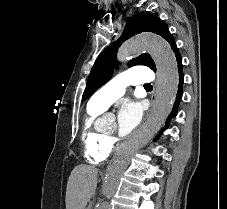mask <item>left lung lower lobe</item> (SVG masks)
I'll list each match as a JSON object with an SVG mask.
<instances>
[{"label":"left lung lower lobe","mask_w":227,"mask_h":209,"mask_svg":"<svg viewBox=\"0 0 227 209\" xmlns=\"http://www.w3.org/2000/svg\"><path fill=\"white\" fill-rule=\"evenodd\" d=\"M172 50L176 55V60H177V64H178V72H179V77H180L179 78V84H178L177 97H176V101L174 103V107L172 108V112L170 113L169 117L166 120V126L160 131V133L155 138V140L159 139L162 132L168 127V123L170 122L171 118L176 116L178 104H179V102L182 98V84H183V80H184V75H183V72H182V58H181V55H180L177 47H174Z\"/></svg>","instance_id":"0a47b994"}]
</instances>
